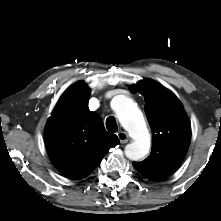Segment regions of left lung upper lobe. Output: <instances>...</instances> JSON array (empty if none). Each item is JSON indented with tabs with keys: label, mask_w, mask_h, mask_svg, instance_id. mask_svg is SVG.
Segmentation results:
<instances>
[{
	"label": "left lung upper lobe",
	"mask_w": 221,
	"mask_h": 221,
	"mask_svg": "<svg viewBox=\"0 0 221 221\" xmlns=\"http://www.w3.org/2000/svg\"><path fill=\"white\" fill-rule=\"evenodd\" d=\"M144 96L145 112L152 129V150L142 162L133 166L154 181L174 173L182 163L191 138L189 119L177 97L152 79L130 87Z\"/></svg>",
	"instance_id": "5c2ea615"
}]
</instances>
